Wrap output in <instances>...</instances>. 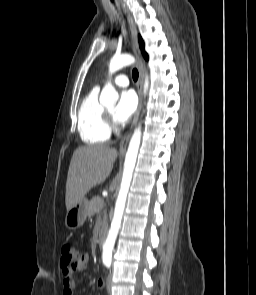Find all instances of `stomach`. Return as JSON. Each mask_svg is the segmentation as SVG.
Listing matches in <instances>:
<instances>
[{
	"mask_svg": "<svg viewBox=\"0 0 256 295\" xmlns=\"http://www.w3.org/2000/svg\"><path fill=\"white\" fill-rule=\"evenodd\" d=\"M88 200L83 198L75 206L67 211L65 216V226L69 230L81 227L87 218Z\"/></svg>",
	"mask_w": 256,
	"mask_h": 295,
	"instance_id": "obj_1",
	"label": "stomach"
}]
</instances>
